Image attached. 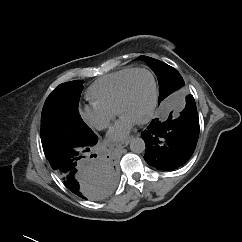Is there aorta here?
I'll list each match as a JSON object with an SVG mask.
<instances>
[{
    "label": "aorta",
    "mask_w": 242,
    "mask_h": 242,
    "mask_svg": "<svg viewBox=\"0 0 242 242\" xmlns=\"http://www.w3.org/2000/svg\"><path fill=\"white\" fill-rule=\"evenodd\" d=\"M146 149L145 142L142 138H133L130 141V150L133 153L140 154L143 153Z\"/></svg>",
    "instance_id": "1"
}]
</instances>
